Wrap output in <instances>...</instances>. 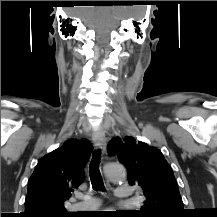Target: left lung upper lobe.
Listing matches in <instances>:
<instances>
[{
	"mask_svg": "<svg viewBox=\"0 0 217 217\" xmlns=\"http://www.w3.org/2000/svg\"><path fill=\"white\" fill-rule=\"evenodd\" d=\"M108 152L126 166L129 184L142 187L146 197L140 211L143 217H181L184 214L173 171L157 148L126 136L113 138Z\"/></svg>",
	"mask_w": 217,
	"mask_h": 217,
	"instance_id": "obj_1",
	"label": "left lung upper lobe"
}]
</instances>
